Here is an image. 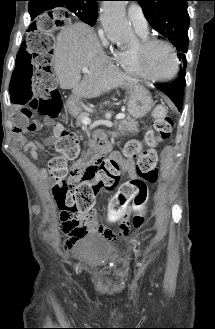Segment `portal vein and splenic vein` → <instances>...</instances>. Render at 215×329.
Here are the masks:
<instances>
[{"label":"portal vein and splenic vein","instance_id":"1","mask_svg":"<svg viewBox=\"0 0 215 329\" xmlns=\"http://www.w3.org/2000/svg\"><path fill=\"white\" fill-rule=\"evenodd\" d=\"M81 71H82L83 73H89V70H88L87 67H83V68L81 69ZM124 118H125V114H123V113H119V114H117V116H116V119H117V120H121V119H124ZM82 123L85 124V125H90V124H91V120H90L89 117L85 116V117L82 118Z\"/></svg>","mask_w":215,"mask_h":329}]
</instances>
